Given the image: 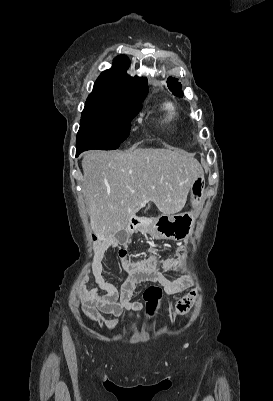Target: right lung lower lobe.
I'll use <instances>...</instances> for the list:
<instances>
[{"instance_id": "obj_1", "label": "right lung lower lobe", "mask_w": 273, "mask_h": 401, "mask_svg": "<svg viewBox=\"0 0 273 401\" xmlns=\"http://www.w3.org/2000/svg\"><path fill=\"white\" fill-rule=\"evenodd\" d=\"M81 152H83V151L76 150V156H78Z\"/></svg>"}]
</instances>
